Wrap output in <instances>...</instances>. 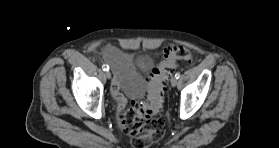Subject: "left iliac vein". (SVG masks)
<instances>
[{
	"label": "left iliac vein",
	"mask_w": 279,
	"mask_h": 148,
	"mask_svg": "<svg viewBox=\"0 0 279 148\" xmlns=\"http://www.w3.org/2000/svg\"><path fill=\"white\" fill-rule=\"evenodd\" d=\"M177 85V79L175 78V77H173L172 79H171V86L172 87H175Z\"/></svg>",
	"instance_id": "1"
}]
</instances>
